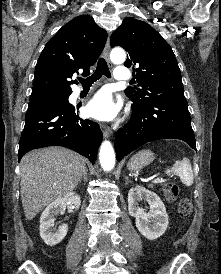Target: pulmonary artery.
<instances>
[{
  "label": "pulmonary artery",
  "instance_id": "obj_1",
  "mask_svg": "<svg viewBox=\"0 0 221 274\" xmlns=\"http://www.w3.org/2000/svg\"><path fill=\"white\" fill-rule=\"evenodd\" d=\"M114 78L118 81H127L131 78V72L126 67H117L114 71ZM81 90H77L76 94H79Z\"/></svg>",
  "mask_w": 221,
  "mask_h": 274
}]
</instances>
